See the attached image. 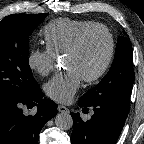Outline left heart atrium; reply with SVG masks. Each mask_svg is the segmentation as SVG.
Listing matches in <instances>:
<instances>
[{
	"instance_id": "39dd6f15",
	"label": "left heart atrium",
	"mask_w": 144,
	"mask_h": 144,
	"mask_svg": "<svg viewBox=\"0 0 144 144\" xmlns=\"http://www.w3.org/2000/svg\"><path fill=\"white\" fill-rule=\"evenodd\" d=\"M82 76L74 68L55 75L45 85L46 94L54 101L68 103L80 88Z\"/></svg>"
}]
</instances>
